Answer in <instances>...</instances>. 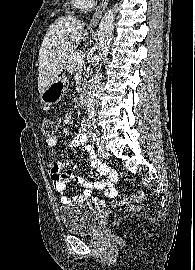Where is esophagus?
<instances>
[{
    "mask_svg": "<svg viewBox=\"0 0 195 270\" xmlns=\"http://www.w3.org/2000/svg\"><path fill=\"white\" fill-rule=\"evenodd\" d=\"M109 0H101L100 4L96 8V11L94 12L92 19L90 21V26H96L100 18L102 17Z\"/></svg>",
    "mask_w": 195,
    "mask_h": 270,
    "instance_id": "1",
    "label": "esophagus"
}]
</instances>
